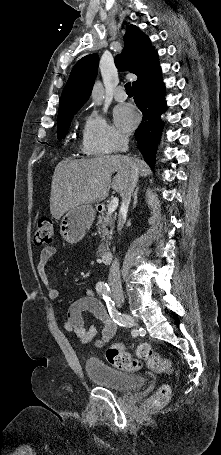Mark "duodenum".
<instances>
[{
    "instance_id": "410a0bca",
    "label": "duodenum",
    "mask_w": 221,
    "mask_h": 455,
    "mask_svg": "<svg viewBox=\"0 0 221 455\" xmlns=\"http://www.w3.org/2000/svg\"><path fill=\"white\" fill-rule=\"evenodd\" d=\"M101 211L102 208L99 207ZM113 253L111 250H105L101 253V259L104 263H110L112 261Z\"/></svg>"
}]
</instances>
